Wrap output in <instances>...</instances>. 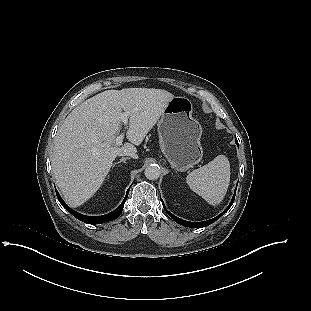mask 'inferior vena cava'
Wrapping results in <instances>:
<instances>
[{"instance_id":"inferior-vena-cava-1","label":"inferior vena cava","mask_w":311,"mask_h":311,"mask_svg":"<svg viewBox=\"0 0 311 311\" xmlns=\"http://www.w3.org/2000/svg\"><path fill=\"white\" fill-rule=\"evenodd\" d=\"M121 156H130L134 159H138V155L136 152H125V153L121 154Z\"/></svg>"}]
</instances>
